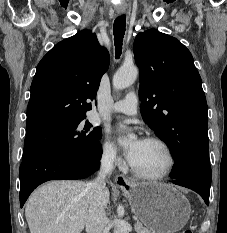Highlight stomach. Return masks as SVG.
Returning <instances> with one entry per match:
<instances>
[{
	"instance_id": "obj_1",
	"label": "stomach",
	"mask_w": 227,
	"mask_h": 233,
	"mask_svg": "<svg viewBox=\"0 0 227 233\" xmlns=\"http://www.w3.org/2000/svg\"><path fill=\"white\" fill-rule=\"evenodd\" d=\"M133 213L152 233H175L190 217V204L176 188L163 183H133L122 188Z\"/></svg>"
}]
</instances>
